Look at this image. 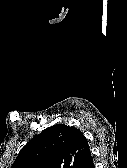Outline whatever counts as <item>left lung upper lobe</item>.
<instances>
[{"label": "left lung upper lobe", "mask_w": 127, "mask_h": 168, "mask_svg": "<svg viewBox=\"0 0 127 168\" xmlns=\"http://www.w3.org/2000/svg\"><path fill=\"white\" fill-rule=\"evenodd\" d=\"M87 147L80 130L56 124L33 137L11 168H79Z\"/></svg>", "instance_id": "5c2ea615"}]
</instances>
